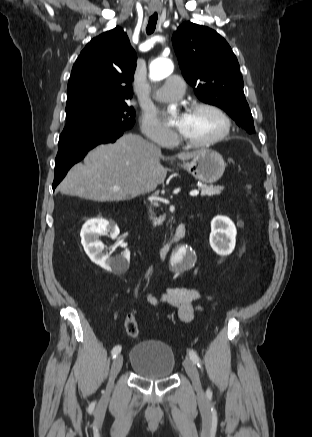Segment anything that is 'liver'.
<instances>
[{
	"mask_svg": "<svg viewBox=\"0 0 312 437\" xmlns=\"http://www.w3.org/2000/svg\"><path fill=\"white\" fill-rule=\"evenodd\" d=\"M197 153L182 152L177 157L188 160ZM161 158L165 159L157 146L141 136L125 134L113 144L99 145L88 152L83 163L71 168L58 189L62 194L98 202L135 198L164 182L167 171Z\"/></svg>",
	"mask_w": 312,
	"mask_h": 437,
	"instance_id": "6515ba94",
	"label": "liver"
}]
</instances>
